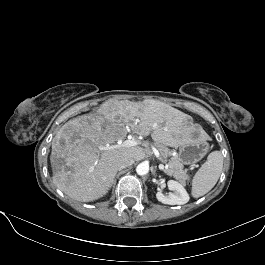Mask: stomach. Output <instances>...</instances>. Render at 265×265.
<instances>
[{
  "label": "stomach",
  "mask_w": 265,
  "mask_h": 265,
  "mask_svg": "<svg viewBox=\"0 0 265 265\" xmlns=\"http://www.w3.org/2000/svg\"><path fill=\"white\" fill-rule=\"evenodd\" d=\"M206 153L205 142L200 139H190V141L180 146L178 158L180 162L186 165H192L198 162Z\"/></svg>",
  "instance_id": "0dacf381"
}]
</instances>
